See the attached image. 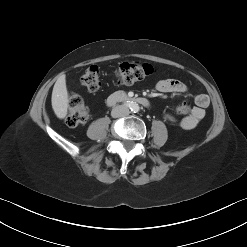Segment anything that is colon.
Masks as SVG:
<instances>
[{"instance_id":"1","label":"colon","mask_w":247,"mask_h":247,"mask_svg":"<svg viewBox=\"0 0 247 247\" xmlns=\"http://www.w3.org/2000/svg\"><path fill=\"white\" fill-rule=\"evenodd\" d=\"M154 69L147 63L123 62L115 70L117 82L121 85H132L145 79L153 73ZM80 84L91 92L98 91L101 86V71L97 66H90L80 77ZM190 103L184 102L177 107L178 115H185L190 110ZM89 112L82 97L72 92L69 100V108L65 118L66 124L76 127L88 120Z\"/></svg>"}]
</instances>
